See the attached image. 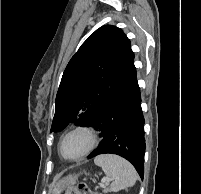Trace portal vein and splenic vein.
I'll use <instances>...</instances> for the list:
<instances>
[{
  "label": "portal vein and splenic vein",
  "mask_w": 201,
  "mask_h": 194,
  "mask_svg": "<svg viewBox=\"0 0 201 194\" xmlns=\"http://www.w3.org/2000/svg\"><path fill=\"white\" fill-rule=\"evenodd\" d=\"M111 179H108L107 181H110ZM104 181H101V183L99 184L100 185V187H105V185H104Z\"/></svg>",
  "instance_id": "18ae733b"
}]
</instances>
